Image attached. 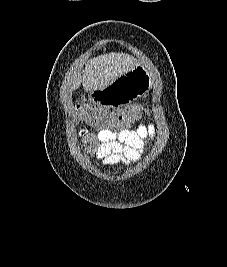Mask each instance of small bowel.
Here are the masks:
<instances>
[{
  "mask_svg": "<svg viewBox=\"0 0 227 267\" xmlns=\"http://www.w3.org/2000/svg\"><path fill=\"white\" fill-rule=\"evenodd\" d=\"M156 135L153 123H140L135 129L100 130L97 134H90L86 129L80 131L87 153L107 166L138 160L144 150V141L153 140Z\"/></svg>",
  "mask_w": 227,
  "mask_h": 267,
  "instance_id": "obj_1",
  "label": "small bowel"
}]
</instances>
